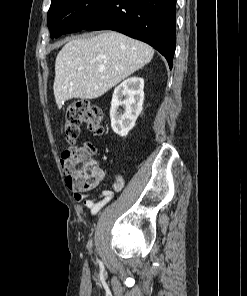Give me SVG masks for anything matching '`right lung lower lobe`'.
Segmentation results:
<instances>
[{
  "label": "right lung lower lobe",
  "instance_id": "1",
  "mask_svg": "<svg viewBox=\"0 0 247 296\" xmlns=\"http://www.w3.org/2000/svg\"><path fill=\"white\" fill-rule=\"evenodd\" d=\"M176 0H102L88 22L90 30H114L146 42L172 68L176 45Z\"/></svg>",
  "mask_w": 247,
  "mask_h": 296
}]
</instances>
